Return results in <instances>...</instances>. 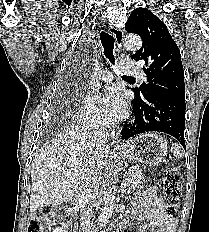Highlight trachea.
Wrapping results in <instances>:
<instances>
[{"mask_svg":"<svg viewBox=\"0 0 209 232\" xmlns=\"http://www.w3.org/2000/svg\"><path fill=\"white\" fill-rule=\"evenodd\" d=\"M100 39H101L102 46L104 48V54L106 58H108L109 61L112 64H114L115 63V58L113 55L114 42H115L114 37L110 35L109 33L103 31L100 34ZM122 78L134 80L133 77H129V76H122Z\"/></svg>","mask_w":209,"mask_h":232,"instance_id":"obj_1","label":"trachea"}]
</instances>
